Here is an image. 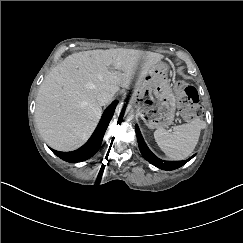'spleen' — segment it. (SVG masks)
<instances>
[{"label": "spleen", "instance_id": "1", "mask_svg": "<svg viewBox=\"0 0 243 243\" xmlns=\"http://www.w3.org/2000/svg\"><path fill=\"white\" fill-rule=\"evenodd\" d=\"M173 133L163 127L154 131V138L162 151L170 158L182 160L187 158L198 143L201 121L194 118L189 123L176 125Z\"/></svg>", "mask_w": 243, "mask_h": 243}]
</instances>
